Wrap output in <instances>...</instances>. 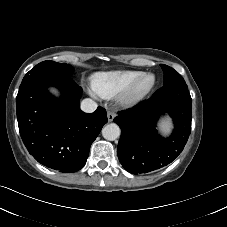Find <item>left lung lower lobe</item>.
Returning <instances> with one entry per match:
<instances>
[{
    "mask_svg": "<svg viewBox=\"0 0 227 227\" xmlns=\"http://www.w3.org/2000/svg\"><path fill=\"white\" fill-rule=\"evenodd\" d=\"M168 113L174 131L162 138L156 123ZM192 99L187 85H165L148 100L118 112L114 122L121 128L117 154L132 174L147 173L171 163L182 152L191 132Z\"/></svg>",
    "mask_w": 227,
    "mask_h": 227,
    "instance_id": "0a47b994",
    "label": "left lung lower lobe"
}]
</instances>
